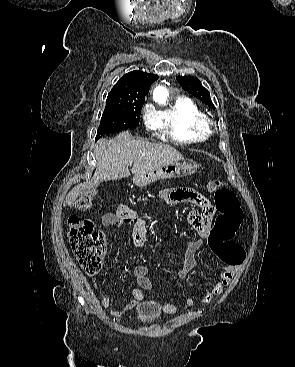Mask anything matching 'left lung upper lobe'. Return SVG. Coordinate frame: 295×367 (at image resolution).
Listing matches in <instances>:
<instances>
[{"label": "left lung upper lobe", "mask_w": 295, "mask_h": 367, "mask_svg": "<svg viewBox=\"0 0 295 367\" xmlns=\"http://www.w3.org/2000/svg\"><path fill=\"white\" fill-rule=\"evenodd\" d=\"M177 81L180 83L182 88L189 93L196 96L198 99H200L203 103H205L207 106L211 108H215L213 105L210 93L209 91L204 88L196 77L193 76H177Z\"/></svg>", "instance_id": "1"}]
</instances>
